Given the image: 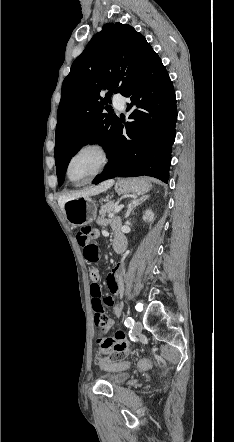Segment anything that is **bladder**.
<instances>
[{
    "instance_id": "31cf9c89",
    "label": "bladder",
    "mask_w": 234,
    "mask_h": 442,
    "mask_svg": "<svg viewBox=\"0 0 234 442\" xmlns=\"http://www.w3.org/2000/svg\"><path fill=\"white\" fill-rule=\"evenodd\" d=\"M102 376L111 384L117 385L130 378L131 373L126 368H111L106 370Z\"/></svg>"
}]
</instances>
